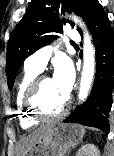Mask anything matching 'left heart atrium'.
<instances>
[{
  "instance_id": "39dd6f15",
  "label": "left heart atrium",
  "mask_w": 114,
  "mask_h": 156,
  "mask_svg": "<svg viewBox=\"0 0 114 156\" xmlns=\"http://www.w3.org/2000/svg\"><path fill=\"white\" fill-rule=\"evenodd\" d=\"M75 78V71L72 62L64 57L55 63L53 81L61 94L69 97Z\"/></svg>"
}]
</instances>
